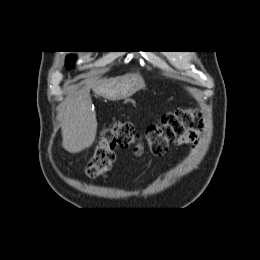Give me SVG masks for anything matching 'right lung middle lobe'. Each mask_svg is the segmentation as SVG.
<instances>
[{"mask_svg":"<svg viewBox=\"0 0 260 260\" xmlns=\"http://www.w3.org/2000/svg\"><path fill=\"white\" fill-rule=\"evenodd\" d=\"M75 58H76L75 55H68V56H67L66 65H67L69 68H72V67H73V62H74Z\"/></svg>","mask_w":260,"mask_h":260,"instance_id":"obj_1","label":"right lung middle lobe"}]
</instances>
